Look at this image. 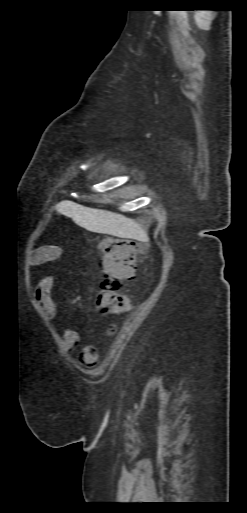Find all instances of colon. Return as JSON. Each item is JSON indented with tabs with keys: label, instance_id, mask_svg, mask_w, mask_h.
Wrapping results in <instances>:
<instances>
[{
	"label": "colon",
	"instance_id": "obj_1",
	"mask_svg": "<svg viewBox=\"0 0 247 513\" xmlns=\"http://www.w3.org/2000/svg\"><path fill=\"white\" fill-rule=\"evenodd\" d=\"M100 254L104 279L94 312L105 316L109 311L119 312L129 305L128 297L121 291V283L133 279L137 273V247L132 240L109 237L101 242Z\"/></svg>",
	"mask_w": 247,
	"mask_h": 513
}]
</instances>
